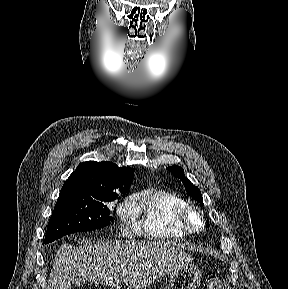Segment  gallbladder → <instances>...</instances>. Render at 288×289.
Listing matches in <instances>:
<instances>
[{"mask_svg":"<svg viewBox=\"0 0 288 289\" xmlns=\"http://www.w3.org/2000/svg\"><path fill=\"white\" fill-rule=\"evenodd\" d=\"M70 279L77 286H82L85 283V279L77 272H72Z\"/></svg>","mask_w":288,"mask_h":289,"instance_id":"obj_1","label":"gallbladder"}]
</instances>
